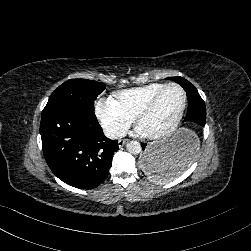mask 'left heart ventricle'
Returning <instances> with one entry per match:
<instances>
[{"label":"left heart ventricle","mask_w":251,"mask_h":251,"mask_svg":"<svg viewBox=\"0 0 251 251\" xmlns=\"http://www.w3.org/2000/svg\"><path fill=\"white\" fill-rule=\"evenodd\" d=\"M183 105V92L176 88H170L163 93L151 111L140 116V122L154 134L173 124L178 119Z\"/></svg>","instance_id":"1"}]
</instances>
